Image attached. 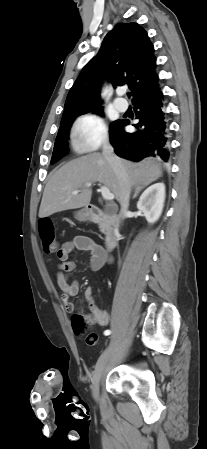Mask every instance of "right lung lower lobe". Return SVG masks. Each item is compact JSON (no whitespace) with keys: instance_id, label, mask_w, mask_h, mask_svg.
<instances>
[{"instance_id":"1","label":"right lung lower lobe","mask_w":207,"mask_h":449,"mask_svg":"<svg viewBox=\"0 0 207 449\" xmlns=\"http://www.w3.org/2000/svg\"><path fill=\"white\" fill-rule=\"evenodd\" d=\"M136 118L133 126L136 132L127 133L121 126L128 120H119L110 131V142L115 153L123 158L140 161L146 157L169 159L168 127L163 112V94L159 88L151 94L133 101Z\"/></svg>"}]
</instances>
